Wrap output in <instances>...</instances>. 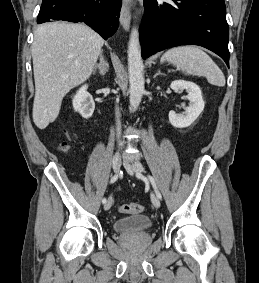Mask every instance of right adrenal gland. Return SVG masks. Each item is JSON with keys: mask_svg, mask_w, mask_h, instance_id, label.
Masks as SVG:
<instances>
[{"mask_svg": "<svg viewBox=\"0 0 259 283\" xmlns=\"http://www.w3.org/2000/svg\"><path fill=\"white\" fill-rule=\"evenodd\" d=\"M99 60H100V62L95 65L94 73L98 69L99 74L104 76L108 72L109 65H108L107 61L105 60V56L103 54V51L100 52Z\"/></svg>", "mask_w": 259, "mask_h": 283, "instance_id": "2a0ac1e0", "label": "right adrenal gland"}]
</instances>
